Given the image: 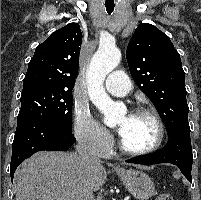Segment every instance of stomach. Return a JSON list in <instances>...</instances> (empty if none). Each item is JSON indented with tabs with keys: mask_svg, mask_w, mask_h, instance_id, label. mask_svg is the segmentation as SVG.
I'll list each match as a JSON object with an SVG mask.
<instances>
[{
	"mask_svg": "<svg viewBox=\"0 0 201 200\" xmlns=\"http://www.w3.org/2000/svg\"><path fill=\"white\" fill-rule=\"evenodd\" d=\"M116 171L127 190L138 200H148L154 195V184L146 173L133 169Z\"/></svg>",
	"mask_w": 201,
	"mask_h": 200,
	"instance_id": "1",
	"label": "stomach"
}]
</instances>
